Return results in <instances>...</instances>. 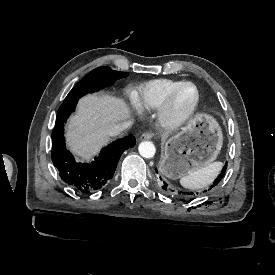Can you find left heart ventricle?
Returning <instances> with one entry per match:
<instances>
[{"label": "left heart ventricle", "instance_id": "b2bd125f", "mask_svg": "<svg viewBox=\"0 0 275 275\" xmlns=\"http://www.w3.org/2000/svg\"><path fill=\"white\" fill-rule=\"evenodd\" d=\"M195 97V92L193 87L191 86H184L182 87L176 98V110L177 111H183L186 109L188 106L191 105Z\"/></svg>", "mask_w": 275, "mask_h": 275}]
</instances>
